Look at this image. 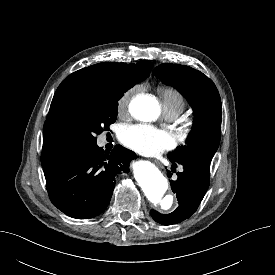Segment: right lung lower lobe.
Wrapping results in <instances>:
<instances>
[{
	"instance_id": "right-lung-lower-lobe-1",
	"label": "right lung lower lobe",
	"mask_w": 275,
	"mask_h": 275,
	"mask_svg": "<svg viewBox=\"0 0 275 275\" xmlns=\"http://www.w3.org/2000/svg\"><path fill=\"white\" fill-rule=\"evenodd\" d=\"M134 152L116 145L110 154L97 145L72 150L44 168L51 202L66 215L88 219L101 214L108 206L115 176L129 172Z\"/></svg>"
}]
</instances>
